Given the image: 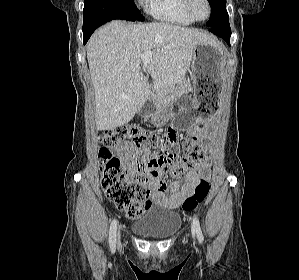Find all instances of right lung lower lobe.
<instances>
[{"instance_id": "obj_1", "label": "right lung lower lobe", "mask_w": 299, "mask_h": 280, "mask_svg": "<svg viewBox=\"0 0 299 280\" xmlns=\"http://www.w3.org/2000/svg\"><path fill=\"white\" fill-rule=\"evenodd\" d=\"M115 19L137 21L112 0H84L83 43L86 44L96 28Z\"/></svg>"}]
</instances>
